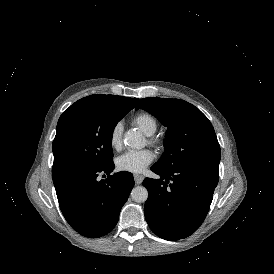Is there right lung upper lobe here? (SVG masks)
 Instances as JSON below:
<instances>
[{"mask_svg":"<svg viewBox=\"0 0 274 274\" xmlns=\"http://www.w3.org/2000/svg\"><path fill=\"white\" fill-rule=\"evenodd\" d=\"M137 101H138L137 98H125L123 96H116V95L95 94V95H90L78 100L73 105H71L68 109H72V108L84 106V105L101 104L106 102H126L130 104L132 107H134Z\"/></svg>","mask_w":274,"mask_h":274,"instance_id":"1","label":"right lung upper lobe"}]
</instances>
